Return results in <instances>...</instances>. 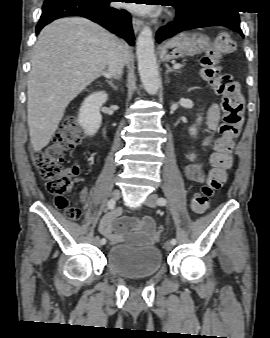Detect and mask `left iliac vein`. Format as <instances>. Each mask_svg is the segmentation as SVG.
I'll use <instances>...</instances> for the list:
<instances>
[{
  "label": "left iliac vein",
  "instance_id": "1",
  "mask_svg": "<svg viewBox=\"0 0 270 338\" xmlns=\"http://www.w3.org/2000/svg\"><path fill=\"white\" fill-rule=\"evenodd\" d=\"M158 196L156 194H149L145 200V204L149 207H156V202H157ZM173 248V244L170 241H167L165 243V249L167 251H170Z\"/></svg>",
  "mask_w": 270,
  "mask_h": 338
}]
</instances>
